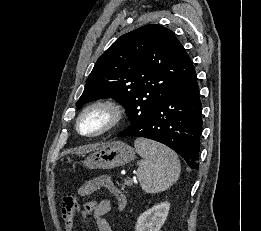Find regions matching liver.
I'll list each match as a JSON object with an SVG mask.
<instances>
[{
	"mask_svg": "<svg viewBox=\"0 0 261 231\" xmlns=\"http://www.w3.org/2000/svg\"><path fill=\"white\" fill-rule=\"evenodd\" d=\"M96 149V146H88L86 148L79 149L76 153L77 154H83L88 153Z\"/></svg>",
	"mask_w": 261,
	"mask_h": 231,
	"instance_id": "1",
	"label": "liver"
}]
</instances>
